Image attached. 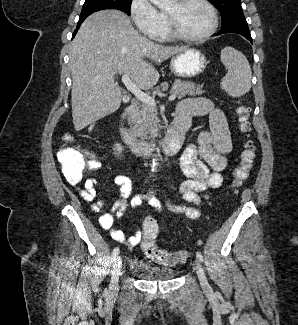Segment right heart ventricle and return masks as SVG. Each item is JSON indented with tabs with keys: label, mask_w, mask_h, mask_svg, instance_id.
Listing matches in <instances>:
<instances>
[{
	"label": "right heart ventricle",
	"mask_w": 298,
	"mask_h": 325,
	"mask_svg": "<svg viewBox=\"0 0 298 325\" xmlns=\"http://www.w3.org/2000/svg\"><path fill=\"white\" fill-rule=\"evenodd\" d=\"M165 40L169 41L170 39L169 38H166Z\"/></svg>",
	"instance_id": "1"
}]
</instances>
